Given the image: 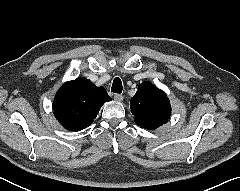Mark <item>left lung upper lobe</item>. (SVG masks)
I'll use <instances>...</instances> for the list:
<instances>
[{"label": "left lung upper lobe", "mask_w": 240, "mask_h": 191, "mask_svg": "<svg viewBox=\"0 0 240 191\" xmlns=\"http://www.w3.org/2000/svg\"><path fill=\"white\" fill-rule=\"evenodd\" d=\"M130 108L136 124L149 130L165 124L171 115L167 95L150 82L138 86L130 101Z\"/></svg>", "instance_id": "1"}]
</instances>
